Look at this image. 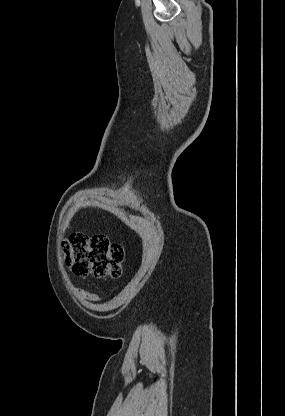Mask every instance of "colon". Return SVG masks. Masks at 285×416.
<instances>
[{
  "mask_svg": "<svg viewBox=\"0 0 285 416\" xmlns=\"http://www.w3.org/2000/svg\"><path fill=\"white\" fill-rule=\"evenodd\" d=\"M64 256L66 265L76 276L118 278L122 273L125 250L105 235L75 233L64 244Z\"/></svg>",
  "mask_w": 285,
  "mask_h": 416,
  "instance_id": "colon-1",
  "label": "colon"
}]
</instances>
